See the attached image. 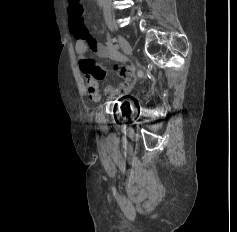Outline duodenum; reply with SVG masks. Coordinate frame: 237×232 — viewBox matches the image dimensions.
I'll return each mask as SVG.
<instances>
[{"label":"duodenum","instance_id":"1","mask_svg":"<svg viewBox=\"0 0 237 232\" xmlns=\"http://www.w3.org/2000/svg\"><path fill=\"white\" fill-rule=\"evenodd\" d=\"M99 5H103L104 0H96Z\"/></svg>","mask_w":237,"mask_h":232}]
</instances>
